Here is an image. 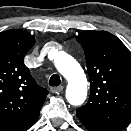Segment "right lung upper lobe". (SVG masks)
I'll return each mask as SVG.
<instances>
[{
    "label": "right lung upper lobe",
    "mask_w": 131,
    "mask_h": 131,
    "mask_svg": "<svg viewBox=\"0 0 131 131\" xmlns=\"http://www.w3.org/2000/svg\"><path fill=\"white\" fill-rule=\"evenodd\" d=\"M34 44V35L25 30L0 33V131L30 128L48 94L24 64V56Z\"/></svg>",
    "instance_id": "cb5924a9"
}]
</instances>
